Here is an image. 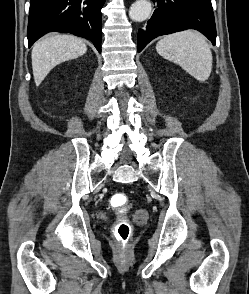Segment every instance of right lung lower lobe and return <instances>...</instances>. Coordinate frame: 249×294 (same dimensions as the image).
I'll return each mask as SVG.
<instances>
[{
	"mask_svg": "<svg viewBox=\"0 0 249 294\" xmlns=\"http://www.w3.org/2000/svg\"><path fill=\"white\" fill-rule=\"evenodd\" d=\"M105 0H31L29 47L44 34L72 33L93 42L101 53V8Z\"/></svg>",
	"mask_w": 249,
	"mask_h": 294,
	"instance_id": "right-lung-lower-lobe-1",
	"label": "right lung lower lobe"
}]
</instances>
